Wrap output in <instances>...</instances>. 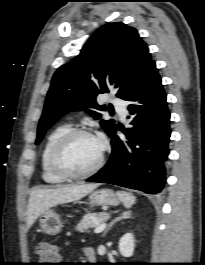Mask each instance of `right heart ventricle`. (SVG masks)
I'll use <instances>...</instances> for the list:
<instances>
[{"label":"right heart ventricle","instance_id":"1","mask_svg":"<svg viewBox=\"0 0 205 265\" xmlns=\"http://www.w3.org/2000/svg\"><path fill=\"white\" fill-rule=\"evenodd\" d=\"M71 129L69 124H60L56 126L46 137L41 153V176L49 184H60L64 179L53 173L49 166V155L57 140Z\"/></svg>","mask_w":205,"mask_h":265}]
</instances>
